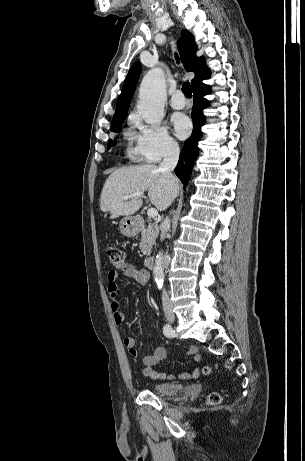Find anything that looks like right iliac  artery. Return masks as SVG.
I'll list each match as a JSON object with an SVG mask.
<instances>
[{"label": "right iliac artery", "mask_w": 305, "mask_h": 461, "mask_svg": "<svg viewBox=\"0 0 305 461\" xmlns=\"http://www.w3.org/2000/svg\"><path fill=\"white\" fill-rule=\"evenodd\" d=\"M163 333L166 337L168 338H171L174 336L175 334V331L172 329V327L168 324H166L164 327H163Z\"/></svg>", "instance_id": "right-iliac-artery-1"}]
</instances>
